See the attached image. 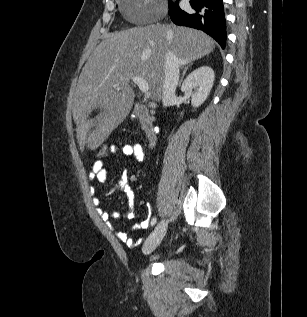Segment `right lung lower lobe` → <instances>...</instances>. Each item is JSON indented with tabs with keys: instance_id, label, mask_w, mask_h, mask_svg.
<instances>
[{
	"instance_id": "1",
	"label": "right lung lower lobe",
	"mask_w": 307,
	"mask_h": 317,
	"mask_svg": "<svg viewBox=\"0 0 307 317\" xmlns=\"http://www.w3.org/2000/svg\"><path fill=\"white\" fill-rule=\"evenodd\" d=\"M192 9L181 10L177 2L169 3V16L176 25L199 29L213 37L222 48L226 44L223 0H190Z\"/></svg>"
}]
</instances>
